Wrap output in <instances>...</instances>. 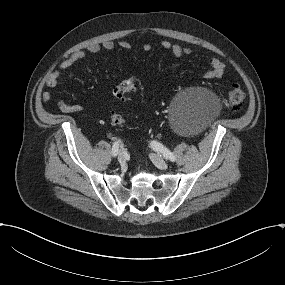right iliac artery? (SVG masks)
Segmentation results:
<instances>
[{
    "instance_id": "1",
    "label": "right iliac artery",
    "mask_w": 285,
    "mask_h": 285,
    "mask_svg": "<svg viewBox=\"0 0 285 285\" xmlns=\"http://www.w3.org/2000/svg\"><path fill=\"white\" fill-rule=\"evenodd\" d=\"M120 140L116 141L113 143V146H112V156L113 157H116L118 152H119V144H120Z\"/></svg>"
}]
</instances>
